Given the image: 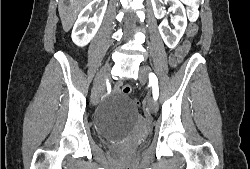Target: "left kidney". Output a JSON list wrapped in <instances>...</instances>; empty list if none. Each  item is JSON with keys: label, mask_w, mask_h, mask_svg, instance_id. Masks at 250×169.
Here are the masks:
<instances>
[{"label": "left kidney", "mask_w": 250, "mask_h": 169, "mask_svg": "<svg viewBox=\"0 0 250 169\" xmlns=\"http://www.w3.org/2000/svg\"><path fill=\"white\" fill-rule=\"evenodd\" d=\"M151 2L156 18H163L158 28L165 44H167L169 48H174V46L178 44L181 36H183L184 30L187 26L185 8L180 0H167V2H170L171 4V10L174 12V16H172V22L175 26L174 30H171L173 34H168L167 28H170V26L168 24L167 18H164L165 6H162L163 0H151Z\"/></svg>", "instance_id": "5707ae66"}]
</instances>
